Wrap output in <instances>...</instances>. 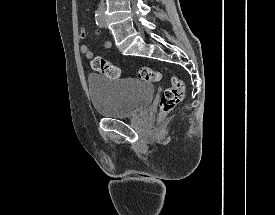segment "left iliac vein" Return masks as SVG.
<instances>
[{"mask_svg":"<svg viewBox=\"0 0 275 215\" xmlns=\"http://www.w3.org/2000/svg\"><path fill=\"white\" fill-rule=\"evenodd\" d=\"M101 11H104V8H101ZM103 21H104V27H106V23H105V18L103 17Z\"/></svg>","mask_w":275,"mask_h":215,"instance_id":"obj_1","label":"left iliac vein"}]
</instances>
